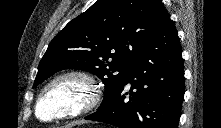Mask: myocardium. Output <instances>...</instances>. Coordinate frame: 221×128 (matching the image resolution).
<instances>
[{
	"instance_id": "obj_1",
	"label": "myocardium",
	"mask_w": 221,
	"mask_h": 128,
	"mask_svg": "<svg viewBox=\"0 0 221 128\" xmlns=\"http://www.w3.org/2000/svg\"><path fill=\"white\" fill-rule=\"evenodd\" d=\"M72 83L79 88V94L75 102L71 105L55 111L48 117H42L40 110L44 102L49 99L52 92L62 83ZM101 88L97 78L89 71L83 69H72L64 71L47 82L39 93L35 106L34 114L43 123H53L72 117L81 116L94 108L100 100Z\"/></svg>"
}]
</instances>
